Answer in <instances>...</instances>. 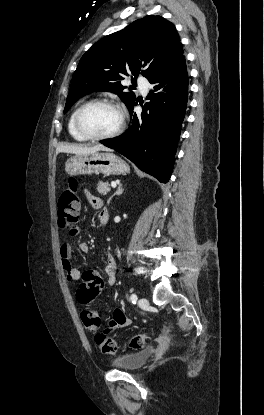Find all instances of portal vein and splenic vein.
<instances>
[{
    "mask_svg": "<svg viewBox=\"0 0 264 415\" xmlns=\"http://www.w3.org/2000/svg\"><path fill=\"white\" fill-rule=\"evenodd\" d=\"M111 186H112L113 188H115V187H116V183H115V182H112V183H111Z\"/></svg>",
    "mask_w": 264,
    "mask_h": 415,
    "instance_id": "1",
    "label": "portal vein and splenic vein"
}]
</instances>
